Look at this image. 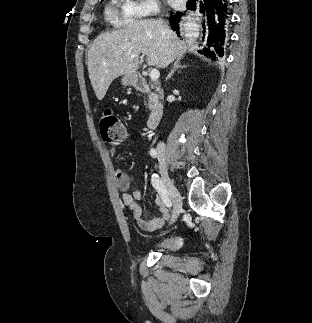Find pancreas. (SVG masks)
Instances as JSON below:
<instances>
[{
    "mask_svg": "<svg viewBox=\"0 0 312 323\" xmlns=\"http://www.w3.org/2000/svg\"><path fill=\"white\" fill-rule=\"evenodd\" d=\"M156 104H158L156 94H149V102L148 104H145V106H148L150 110H154V108H156Z\"/></svg>",
    "mask_w": 312,
    "mask_h": 323,
    "instance_id": "1",
    "label": "pancreas"
}]
</instances>
